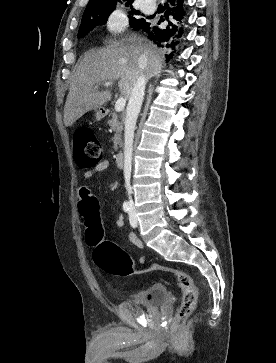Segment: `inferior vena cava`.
I'll use <instances>...</instances> for the list:
<instances>
[{"instance_id":"602c4592","label":"inferior vena cava","mask_w":276,"mask_h":363,"mask_svg":"<svg viewBox=\"0 0 276 363\" xmlns=\"http://www.w3.org/2000/svg\"><path fill=\"white\" fill-rule=\"evenodd\" d=\"M147 79L144 75L138 77L133 86L126 109L125 118V144H124V178L125 186L129 195V203L133 204L131 198L130 177L132 169L133 139L136 121L141 110Z\"/></svg>"}]
</instances>
